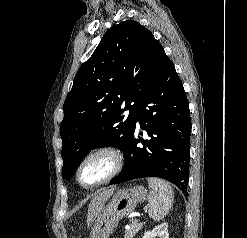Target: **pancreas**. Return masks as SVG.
Masks as SVG:
<instances>
[{
	"label": "pancreas",
	"instance_id": "1",
	"mask_svg": "<svg viewBox=\"0 0 247 238\" xmlns=\"http://www.w3.org/2000/svg\"><path fill=\"white\" fill-rule=\"evenodd\" d=\"M143 227V223H139L137 220H131L129 228L125 230L124 238H133Z\"/></svg>",
	"mask_w": 247,
	"mask_h": 238
}]
</instances>
